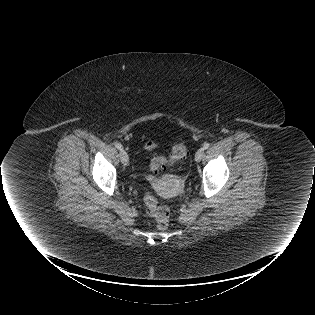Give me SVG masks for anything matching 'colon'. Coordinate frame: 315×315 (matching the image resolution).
<instances>
[{"mask_svg":"<svg viewBox=\"0 0 315 315\" xmlns=\"http://www.w3.org/2000/svg\"><path fill=\"white\" fill-rule=\"evenodd\" d=\"M187 154V148L183 143L175 144L170 151L168 157H156L150 163V170L153 173H158L170 166H173L182 160ZM144 202L147 212L151 215L156 222V226L160 230H165L169 226L170 212L165 206H159L157 199L152 194H146Z\"/></svg>","mask_w":315,"mask_h":315,"instance_id":"5ec220e1","label":"colon"}]
</instances>
